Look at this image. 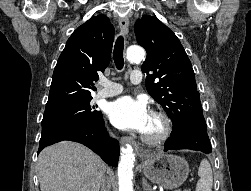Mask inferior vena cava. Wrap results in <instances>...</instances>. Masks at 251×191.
Returning <instances> with one entry per match:
<instances>
[{"mask_svg": "<svg viewBox=\"0 0 251 191\" xmlns=\"http://www.w3.org/2000/svg\"><path fill=\"white\" fill-rule=\"evenodd\" d=\"M103 183H105L104 179ZM103 191H110V185H106V187H103Z\"/></svg>", "mask_w": 251, "mask_h": 191, "instance_id": "obj_1", "label": "inferior vena cava"}]
</instances>
